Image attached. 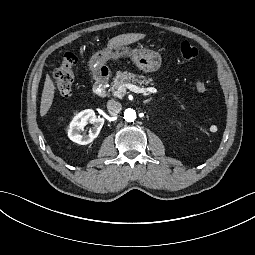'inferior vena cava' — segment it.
<instances>
[{
    "label": "inferior vena cava",
    "mask_w": 255,
    "mask_h": 255,
    "mask_svg": "<svg viewBox=\"0 0 255 255\" xmlns=\"http://www.w3.org/2000/svg\"><path fill=\"white\" fill-rule=\"evenodd\" d=\"M107 109L111 115H116L121 111L122 105L115 100H109L107 102Z\"/></svg>",
    "instance_id": "602c4592"
}]
</instances>
